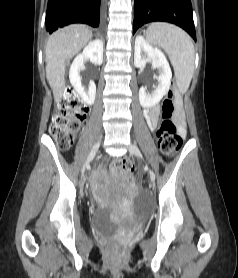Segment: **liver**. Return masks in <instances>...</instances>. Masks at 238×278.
<instances>
[{"instance_id": "6515ba94", "label": "liver", "mask_w": 238, "mask_h": 278, "mask_svg": "<svg viewBox=\"0 0 238 278\" xmlns=\"http://www.w3.org/2000/svg\"><path fill=\"white\" fill-rule=\"evenodd\" d=\"M92 31L80 24L69 25L53 33L46 44V78L56 103L65 90V67L91 39Z\"/></svg>"}]
</instances>
